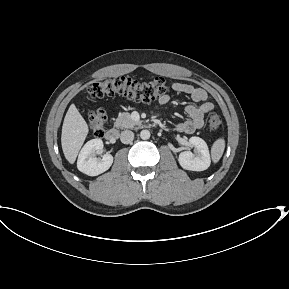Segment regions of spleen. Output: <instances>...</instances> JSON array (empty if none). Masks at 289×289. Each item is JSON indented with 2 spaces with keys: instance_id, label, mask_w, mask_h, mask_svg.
<instances>
[{
  "instance_id": "3e777b00",
  "label": "spleen",
  "mask_w": 289,
  "mask_h": 289,
  "mask_svg": "<svg viewBox=\"0 0 289 289\" xmlns=\"http://www.w3.org/2000/svg\"><path fill=\"white\" fill-rule=\"evenodd\" d=\"M225 149V140L223 138L217 139L211 148V156L214 163H217L223 155Z\"/></svg>"
}]
</instances>
